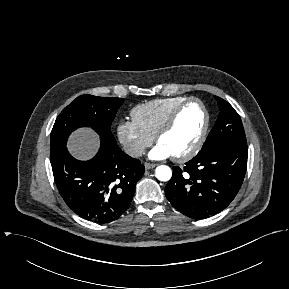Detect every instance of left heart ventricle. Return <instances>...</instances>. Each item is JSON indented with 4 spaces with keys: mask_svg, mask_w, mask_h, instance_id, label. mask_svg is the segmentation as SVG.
Masks as SVG:
<instances>
[{
    "mask_svg": "<svg viewBox=\"0 0 289 289\" xmlns=\"http://www.w3.org/2000/svg\"><path fill=\"white\" fill-rule=\"evenodd\" d=\"M204 112L197 103L187 105L174 127L159 141L172 156L187 152L197 141L204 125Z\"/></svg>",
    "mask_w": 289,
    "mask_h": 289,
    "instance_id": "left-heart-ventricle-1",
    "label": "left heart ventricle"
}]
</instances>
